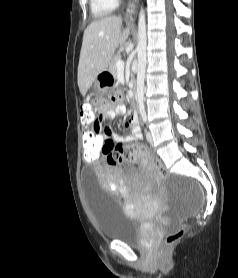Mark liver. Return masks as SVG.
Wrapping results in <instances>:
<instances>
[{
	"mask_svg": "<svg viewBox=\"0 0 238 278\" xmlns=\"http://www.w3.org/2000/svg\"><path fill=\"white\" fill-rule=\"evenodd\" d=\"M122 18L104 17L84 31L78 65V86L85 96L99 74L106 71L117 47L128 39L130 29L121 32Z\"/></svg>",
	"mask_w": 238,
	"mask_h": 278,
	"instance_id": "liver-1",
	"label": "liver"
}]
</instances>
